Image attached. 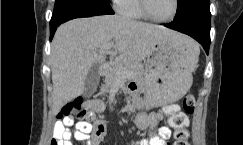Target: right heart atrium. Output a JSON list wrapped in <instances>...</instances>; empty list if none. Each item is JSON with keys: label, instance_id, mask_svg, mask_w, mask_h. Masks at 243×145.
<instances>
[{"label": "right heart atrium", "instance_id": "1", "mask_svg": "<svg viewBox=\"0 0 243 145\" xmlns=\"http://www.w3.org/2000/svg\"><path fill=\"white\" fill-rule=\"evenodd\" d=\"M122 0H113L114 4L118 6Z\"/></svg>", "mask_w": 243, "mask_h": 145}]
</instances>
